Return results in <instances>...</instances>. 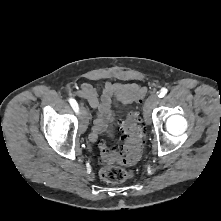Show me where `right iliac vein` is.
Instances as JSON below:
<instances>
[{
  "label": "right iliac vein",
  "mask_w": 221,
  "mask_h": 221,
  "mask_svg": "<svg viewBox=\"0 0 221 221\" xmlns=\"http://www.w3.org/2000/svg\"><path fill=\"white\" fill-rule=\"evenodd\" d=\"M88 113L87 110L83 107L80 106V126H79V130L80 132H85L88 126Z\"/></svg>",
  "instance_id": "63e3f726"
}]
</instances>
